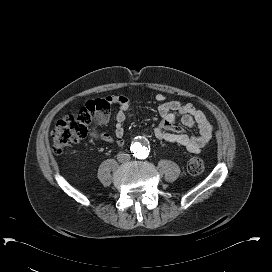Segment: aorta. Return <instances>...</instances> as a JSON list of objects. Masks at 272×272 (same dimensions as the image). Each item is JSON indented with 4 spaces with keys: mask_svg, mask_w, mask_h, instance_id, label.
<instances>
[{
    "mask_svg": "<svg viewBox=\"0 0 272 272\" xmlns=\"http://www.w3.org/2000/svg\"><path fill=\"white\" fill-rule=\"evenodd\" d=\"M130 150L135 158L145 159L149 155L148 141L145 138H139L132 143Z\"/></svg>",
    "mask_w": 272,
    "mask_h": 272,
    "instance_id": "762f6f07",
    "label": "aorta"
}]
</instances>
